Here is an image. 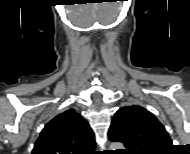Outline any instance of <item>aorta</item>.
<instances>
[{
	"instance_id": "obj_1",
	"label": "aorta",
	"mask_w": 190,
	"mask_h": 154,
	"mask_svg": "<svg viewBox=\"0 0 190 154\" xmlns=\"http://www.w3.org/2000/svg\"><path fill=\"white\" fill-rule=\"evenodd\" d=\"M111 150H116V149H123V144L119 142H114L110 145Z\"/></svg>"
}]
</instances>
